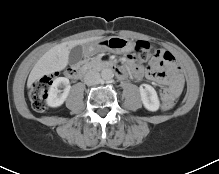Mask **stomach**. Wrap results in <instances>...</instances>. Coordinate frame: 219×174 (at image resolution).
I'll list each match as a JSON object with an SVG mask.
<instances>
[{
	"label": "stomach",
	"mask_w": 219,
	"mask_h": 174,
	"mask_svg": "<svg viewBox=\"0 0 219 174\" xmlns=\"http://www.w3.org/2000/svg\"><path fill=\"white\" fill-rule=\"evenodd\" d=\"M133 49L134 43L132 41L119 36H111L101 40L92 41L86 45V50L90 55L99 52L122 54L131 52Z\"/></svg>",
	"instance_id": "stomach-1"
}]
</instances>
